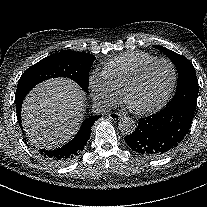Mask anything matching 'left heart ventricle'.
<instances>
[{"label":"left heart ventricle","instance_id":"1","mask_svg":"<svg viewBox=\"0 0 207 207\" xmlns=\"http://www.w3.org/2000/svg\"><path fill=\"white\" fill-rule=\"evenodd\" d=\"M171 82L172 70L168 64L153 65L129 94V105L136 110L146 111L153 105L163 103Z\"/></svg>","mask_w":207,"mask_h":207}]
</instances>
